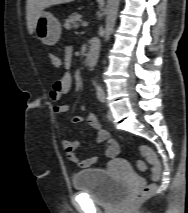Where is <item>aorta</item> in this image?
Wrapping results in <instances>:
<instances>
[{
	"mask_svg": "<svg viewBox=\"0 0 188 213\" xmlns=\"http://www.w3.org/2000/svg\"><path fill=\"white\" fill-rule=\"evenodd\" d=\"M119 9V0H108L106 6V27H105V41L109 40L113 25L116 21L117 13ZM96 94L98 97H104V91L99 84H96Z\"/></svg>",
	"mask_w": 188,
	"mask_h": 213,
	"instance_id": "762f6f07",
	"label": "aorta"
}]
</instances>
